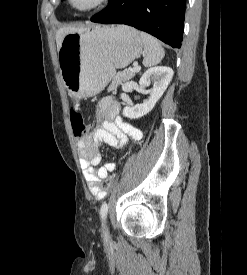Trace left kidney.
Wrapping results in <instances>:
<instances>
[{
    "mask_svg": "<svg viewBox=\"0 0 247 275\" xmlns=\"http://www.w3.org/2000/svg\"><path fill=\"white\" fill-rule=\"evenodd\" d=\"M173 70L167 66H157L148 69L140 78L139 85L142 89L152 84L147 91L149 99L142 104L128 105L123 109V116L138 119L148 114L162 97L173 77Z\"/></svg>",
    "mask_w": 247,
    "mask_h": 275,
    "instance_id": "5707ae66",
    "label": "left kidney"
}]
</instances>
